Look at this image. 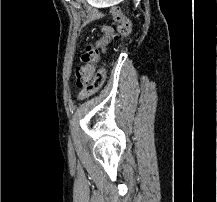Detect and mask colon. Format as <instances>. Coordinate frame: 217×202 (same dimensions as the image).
Masks as SVG:
<instances>
[{
	"instance_id": "5ec220e1",
	"label": "colon",
	"mask_w": 217,
	"mask_h": 202,
	"mask_svg": "<svg viewBox=\"0 0 217 202\" xmlns=\"http://www.w3.org/2000/svg\"><path fill=\"white\" fill-rule=\"evenodd\" d=\"M131 31V25L129 20L117 14L115 16V26L111 28L109 26H104L101 29V36L94 43L87 44L82 53L81 60L83 65L79 66L75 71L76 83L78 86H82L83 90L79 94V100L88 98L96 94L103 85L104 82V68L100 67L96 69L95 65L98 62L97 54L99 52H104L111 41L118 38L127 36ZM97 70L95 81H92L88 87L86 84L89 80V76L93 73L94 70Z\"/></svg>"
}]
</instances>
